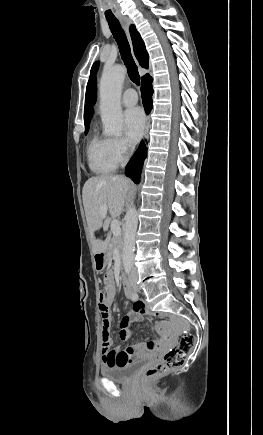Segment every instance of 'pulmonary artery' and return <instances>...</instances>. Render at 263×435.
I'll return each instance as SVG.
<instances>
[{
  "label": "pulmonary artery",
  "instance_id": "e3ab8cb5",
  "mask_svg": "<svg viewBox=\"0 0 263 435\" xmlns=\"http://www.w3.org/2000/svg\"><path fill=\"white\" fill-rule=\"evenodd\" d=\"M121 102L126 107H132L138 102V96L133 89H128L124 92Z\"/></svg>",
  "mask_w": 263,
  "mask_h": 435
}]
</instances>
